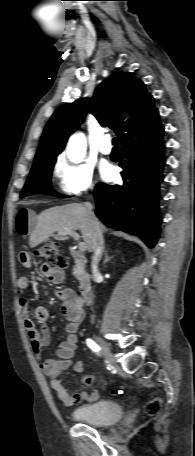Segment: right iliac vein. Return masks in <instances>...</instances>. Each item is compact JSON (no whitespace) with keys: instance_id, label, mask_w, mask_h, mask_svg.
<instances>
[{"instance_id":"63e3f726","label":"right iliac vein","mask_w":195,"mask_h":456,"mask_svg":"<svg viewBox=\"0 0 195 456\" xmlns=\"http://www.w3.org/2000/svg\"><path fill=\"white\" fill-rule=\"evenodd\" d=\"M95 340L96 342L98 343L101 351H102V354L104 355V357L106 358V360L110 363V364H113L114 363V357H113V354L111 353V350L108 346V344L103 341L100 337L96 336L95 337Z\"/></svg>"}]
</instances>
